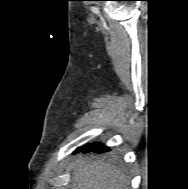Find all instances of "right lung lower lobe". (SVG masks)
Instances as JSON below:
<instances>
[{
  "label": "right lung lower lobe",
  "instance_id": "1",
  "mask_svg": "<svg viewBox=\"0 0 188 189\" xmlns=\"http://www.w3.org/2000/svg\"><path fill=\"white\" fill-rule=\"evenodd\" d=\"M89 151H93L95 153H103L106 151H109L108 147H104L102 145L99 144H90V145H85L83 147H79L74 154L79 153V152H89Z\"/></svg>",
  "mask_w": 188,
  "mask_h": 189
}]
</instances>
